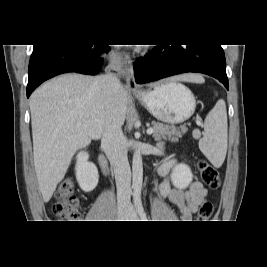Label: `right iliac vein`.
Wrapping results in <instances>:
<instances>
[{"instance_id": "right-iliac-vein-1", "label": "right iliac vein", "mask_w": 267, "mask_h": 267, "mask_svg": "<svg viewBox=\"0 0 267 267\" xmlns=\"http://www.w3.org/2000/svg\"><path fill=\"white\" fill-rule=\"evenodd\" d=\"M127 216H128V211L126 210L118 211V219L124 220L127 218Z\"/></svg>"}]
</instances>
